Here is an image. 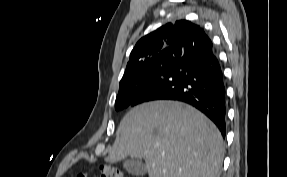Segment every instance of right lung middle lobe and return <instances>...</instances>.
Returning <instances> with one entry per match:
<instances>
[{"label": "right lung middle lobe", "mask_w": 287, "mask_h": 177, "mask_svg": "<svg viewBox=\"0 0 287 177\" xmlns=\"http://www.w3.org/2000/svg\"><path fill=\"white\" fill-rule=\"evenodd\" d=\"M179 56H169L142 70L134 77L119 84V93L115 109L122 110L131 103L154 81L173 68L180 60Z\"/></svg>", "instance_id": "obj_1"}]
</instances>
